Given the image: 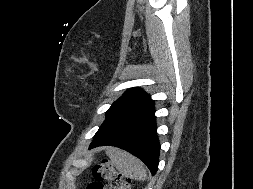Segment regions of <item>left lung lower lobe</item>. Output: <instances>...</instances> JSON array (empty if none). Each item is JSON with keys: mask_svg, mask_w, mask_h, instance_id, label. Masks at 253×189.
Masks as SVG:
<instances>
[{"mask_svg": "<svg viewBox=\"0 0 253 189\" xmlns=\"http://www.w3.org/2000/svg\"><path fill=\"white\" fill-rule=\"evenodd\" d=\"M154 112L153 108L105 134L95 136L89 148L104 145L120 147L140 158L152 175H155L159 163L160 144Z\"/></svg>", "mask_w": 253, "mask_h": 189, "instance_id": "obj_1", "label": "left lung lower lobe"}]
</instances>
